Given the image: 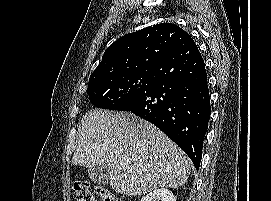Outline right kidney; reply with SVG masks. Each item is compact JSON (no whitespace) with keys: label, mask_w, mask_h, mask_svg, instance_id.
<instances>
[{"label":"right kidney","mask_w":271,"mask_h":201,"mask_svg":"<svg viewBox=\"0 0 271 201\" xmlns=\"http://www.w3.org/2000/svg\"><path fill=\"white\" fill-rule=\"evenodd\" d=\"M141 201H176V197L167 188H160L149 192Z\"/></svg>","instance_id":"ca27d5eb"}]
</instances>
